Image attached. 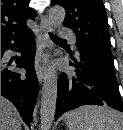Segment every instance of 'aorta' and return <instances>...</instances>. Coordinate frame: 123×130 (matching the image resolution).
Here are the masks:
<instances>
[{
	"label": "aorta",
	"mask_w": 123,
	"mask_h": 130,
	"mask_svg": "<svg viewBox=\"0 0 123 130\" xmlns=\"http://www.w3.org/2000/svg\"><path fill=\"white\" fill-rule=\"evenodd\" d=\"M65 18V9L54 6L49 11V21L52 27L60 26ZM58 74L55 67L49 66L44 73L41 92L40 120L43 130H49L54 120L57 102Z\"/></svg>",
	"instance_id": "762f6f07"
}]
</instances>
